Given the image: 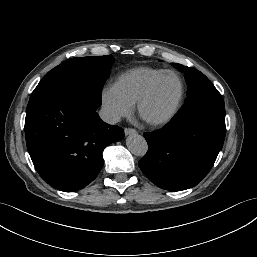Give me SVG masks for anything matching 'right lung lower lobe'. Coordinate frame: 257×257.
I'll list each match as a JSON object with an SVG mask.
<instances>
[{
  "label": "right lung lower lobe",
  "mask_w": 257,
  "mask_h": 257,
  "mask_svg": "<svg viewBox=\"0 0 257 257\" xmlns=\"http://www.w3.org/2000/svg\"><path fill=\"white\" fill-rule=\"evenodd\" d=\"M94 99L82 88H63L30 97L26 145L39 175L52 187L78 191L100 172L104 148L124 138V130L103 122Z\"/></svg>",
  "instance_id": "obj_1"
}]
</instances>
